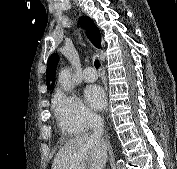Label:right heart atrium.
Listing matches in <instances>:
<instances>
[{
    "label": "right heart atrium",
    "mask_w": 177,
    "mask_h": 169,
    "mask_svg": "<svg viewBox=\"0 0 177 169\" xmlns=\"http://www.w3.org/2000/svg\"><path fill=\"white\" fill-rule=\"evenodd\" d=\"M53 110L60 129L69 135H76L86 130L97 121L98 116L74 94L62 90L56 92Z\"/></svg>",
    "instance_id": "right-heart-atrium-1"
}]
</instances>
